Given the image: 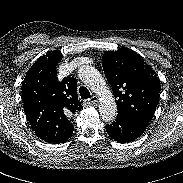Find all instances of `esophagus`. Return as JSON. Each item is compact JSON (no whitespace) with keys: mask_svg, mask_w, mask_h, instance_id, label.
I'll return each instance as SVG.
<instances>
[{"mask_svg":"<svg viewBox=\"0 0 183 183\" xmlns=\"http://www.w3.org/2000/svg\"><path fill=\"white\" fill-rule=\"evenodd\" d=\"M98 104V97L92 96L90 99L84 101L85 106H96Z\"/></svg>","mask_w":183,"mask_h":183,"instance_id":"obj_1","label":"esophagus"}]
</instances>
